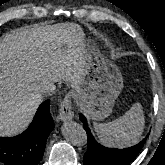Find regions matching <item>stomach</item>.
Here are the masks:
<instances>
[{"mask_svg":"<svg viewBox=\"0 0 165 165\" xmlns=\"http://www.w3.org/2000/svg\"><path fill=\"white\" fill-rule=\"evenodd\" d=\"M82 48L86 62V76L77 89L80 107L93 120L108 117L123 88L118 67L99 51L92 39L83 36Z\"/></svg>","mask_w":165,"mask_h":165,"instance_id":"obj_1","label":"stomach"}]
</instances>
